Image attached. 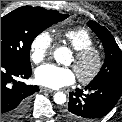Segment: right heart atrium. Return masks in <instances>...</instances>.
<instances>
[{"instance_id":"1","label":"right heart atrium","mask_w":122,"mask_h":122,"mask_svg":"<svg viewBox=\"0 0 122 122\" xmlns=\"http://www.w3.org/2000/svg\"><path fill=\"white\" fill-rule=\"evenodd\" d=\"M53 37L48 31L37 34L30 44V57L34 63H40L47 58L53 49Z\"/></svg>"}]
</instances>
